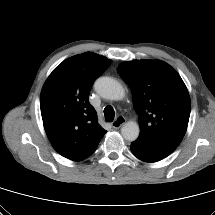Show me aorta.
I'll list each match as a JSON object with an SVG mask.
<instances>
[{"instance_id":"762f6f07","label":"aorta","mask_w":215,"mask_h":215,"mask_svg":"<svg viewBox=\"0 0 215 215\" xmlns=\"http://www.w3.org/2000/svg\"><path fill=\"white\" fill-rule=\"evenodd\" d=\"M95 91L108 100H122L125 97L123 86L111 77H100L94 83ZM139 125L135 121L126 122L121 128V134L125 140L135 141L139 136Z\"/></svg>"}]
</instances>
